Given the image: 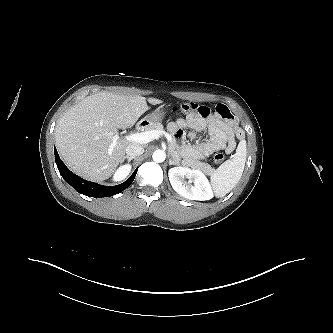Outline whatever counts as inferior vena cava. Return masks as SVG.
Masks as SVG:
<instances>
[{
    "instance_id": "602c4592",
    "label": "inferior vena cava",
    "mask_w": 333,
    "mask_h": 333,
    "mask_svg": "<svg viewBox=\"0 0 333 333\" xmlns=\"http://www.w3.org/2000/svg\"><path fill=\"white\" fill-rule=\"evenodd\" d=\"M125 151L127 156L136 157L143 154L144 148L139 144L131 143L126 147Z\"/></svg>"
}]
</instances>
